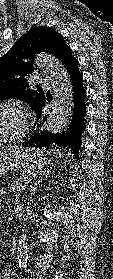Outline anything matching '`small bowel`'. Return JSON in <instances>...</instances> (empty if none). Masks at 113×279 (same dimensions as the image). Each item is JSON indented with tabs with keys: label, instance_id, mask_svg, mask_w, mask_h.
<instances>
[{
	"label": "small bowel",
	"instance_id": "obj_1",
	"mask_svg": "<svg viewBox=\"0 0 113 279\" xmlns=\"http://www.w3.org/2000/svg\"><path fill=\"white\" fill-rule=\"evenodd\" d=\"M3 194H4V190L0 188V196L2 197ZM15 277H16V273L14 270L7 269L3 273V279H15Z\"/></svg>",
	"mask_w": 113,
	"mask_h": 279
}]
</instances>
